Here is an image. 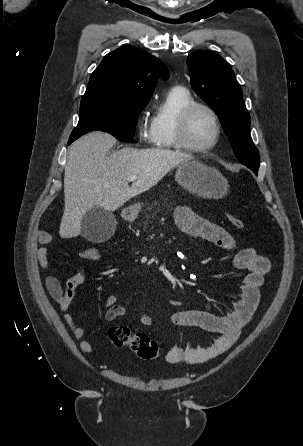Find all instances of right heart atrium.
I'll return each mask as SVG.
<instances>
[{
	"mask_svg": "<svg viewBox=\"0 0 303 446\" xmlns=\"http://www.w3.org/2000/svg\"><path fill=\"white\" fill-rule=\"evenodd\" d=\"M139 136L142 140H145L149 137V133L144 128H141L139 131Z\"/></svg>",
	"mask_w": 303,
	"mask_h": 446,
	"instance_id": "1",
	"label": "right heart atrium"
}]
</instances>
